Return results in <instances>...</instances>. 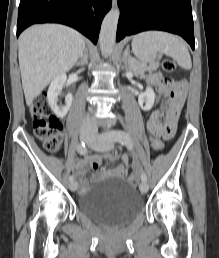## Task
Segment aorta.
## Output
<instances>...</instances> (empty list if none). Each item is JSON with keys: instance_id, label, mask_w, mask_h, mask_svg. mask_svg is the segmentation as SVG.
<instances>
[{"instance_id": "762f6f07", "label": "aorta", "mask_w": 219, "mask_h": 258, "mask_svg": "<svg viewBox=\"0 0 219 258\" xmlns=\"http://www.w3.org/2000/svg\"><path fill=\"white\" fill-rule=\"evenodd\" d=\"M119 16L120 10L116 8L111 9L103 19L99 36V45L104 57H108L113 51Z\"/></svg>"}]
</instances>
